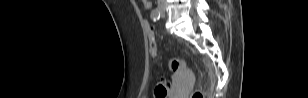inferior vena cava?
Instances as JSON below:
<instances>
[{"instance_id":"inferior-vena-cava-1","label":"inferior vena cava","mask_w":308,"mask_h":98,"mask_svg":"<svg viewBox=\"0 0 308 98\" xmlns=\"http://www.w3.org/2000/svg\"><path fill=\"white\" fill-rule=\"evenodd\" d=\"M159 2H163V0H159Z\"/></svg>"}]
</instances>
